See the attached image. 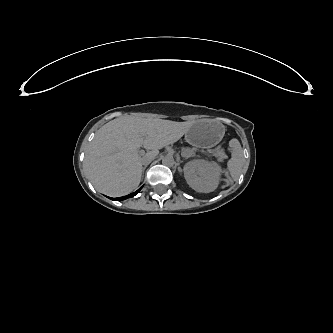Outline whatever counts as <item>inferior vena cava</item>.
Masks as SVG:
<instances>
[{"instance_id": "obj_1", "label": "inferior vena cava", "mask_w": 333, "mask_h": 333, "mask_svg": "<svg viewBox=\"0 0 333 333\" xmlns=\"http://www.w3.org/2000/svg\"><path fill=\"white\" fill-rule=\"evenodd\" d=\"M153 159H154V158H144V159L142 160V164H143V165H149V164L152 162Z\"/></svg>"}]
</instances>
